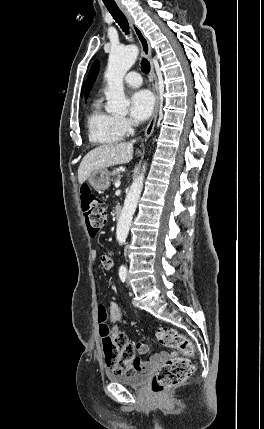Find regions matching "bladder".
<instances>
[{
	"instance_id": "1",
	"label": "bladder",
	"mask_w": 264,
	"mask_h": 429,
	"mask_svg": "<svg viewBox=\"0 0 264 429\" xmlns=\"http://www.w3.org/2000/svg\"><path fill=\"white\" fill-rule=\"evenodd\" d=\"M149 375V372H137L126 375L109 374L108 379L127 387L139 388L146 383Z\"/></svg>"
}]
</instances>
